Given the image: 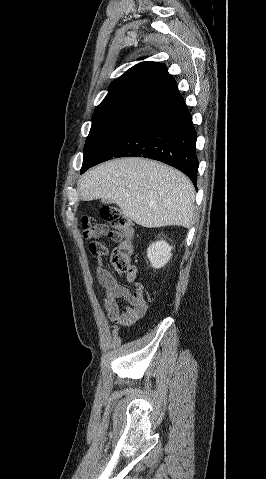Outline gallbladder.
<instances>
[{
  "label": "gallbladder",
  "mask_w": 266,
  "mask_h": 479,
  "mask_svg": "<svg viewBox=\"0 0 266 479\" xmlns=\"http://www.w3.org/2000/svg\"><path fill=\"white\" fill-rule=\"evenodd\" d=\"M102 202H103L104 204H110V203H113V201H112V200H109V199H106V198L102 199Z\"/></svg>",
  "instance_id": "gallbladder-1"
}]
</instances>
